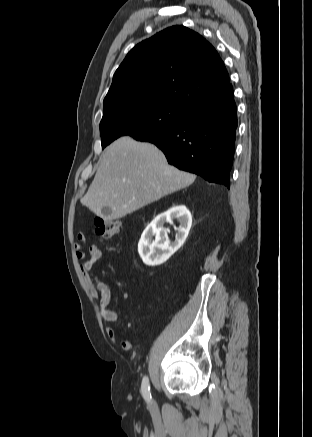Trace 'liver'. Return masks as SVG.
<instances>
[{
    "instance_id": "1",
    "label": "liver",
    "mask_w": 312,
    "mask_h": 437,
    "mask_svg": "<svg viewBox=\"0 0 312 437\" xmlns=\"http://www.w3.org/2000/svg\"><path fill=\"white\" fill-rule=\"evenodd\" d=\"M195 178L169 165L155 145L124 136L104 150L81 203L97 216L115 220L189 186ZM103 207L111 209L109 216L102 214Z\"/></svg>"
}]
</instances>
